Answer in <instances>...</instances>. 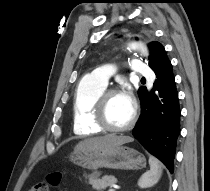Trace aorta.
<instances>
[{
  "label": "aorta",
  "mask_w": 210,
  "mask_h": 191,
  "mask_svg": "<svg viewBox=\"0 0 210 191\" xmlns=\"http://www.w3.org/2000/svg\"><path fill=\"white\" fill-rule=\"evenodd\" d=\"M131 49H140L144 54H147V49L140 43H131L130 44Z\"/></svg>",
  "instance_id": "762f6f07"
}]
</instances>
